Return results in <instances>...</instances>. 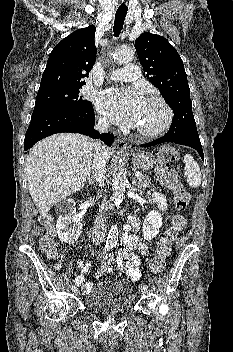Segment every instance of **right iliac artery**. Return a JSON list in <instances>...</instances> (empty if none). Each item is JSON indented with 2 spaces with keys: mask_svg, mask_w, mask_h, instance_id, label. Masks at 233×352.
Segmentation results:
<instances>
[{
  "mask_svg": "<svg viewBox=\"0 0 233 352\" xmlns=\"http://www.w3.org/2000/svg\"><path fill=\"white\" fill-rule=\"evenodd\" d=\"M107 250H108V248H107ZM104 252H106V249H104ZM71 290H72V291H75V290H76V287H75V286H72V287H71Z\"/></svg>",
  "mask_w": 233,
  "mask_h": 352,
  "instance_id": "right-iliac-artery-1",
  "label": "right iliac artery"
}]
</instances>
